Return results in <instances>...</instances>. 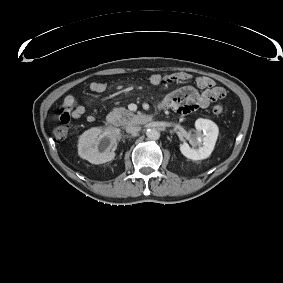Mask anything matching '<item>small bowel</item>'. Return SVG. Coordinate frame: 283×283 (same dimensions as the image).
Returning a JSON list of instances; mask_svg holds the SVG:
<instances>
[{"label": "small bowel", "instance_id": "obj_1", "mask_svg": "<svg viewBox=\"0 0 283 283\" xmlns=\"http://www.w3.org/2000/svg\"><path fill=\"white\" fill-rule=\"evenodd\" d=\"M191 79V75L186 72H177L164 79L160 74L154 73L149 77V81L154 86L164 85L166 83H180ZM95 93H103L106 90V84L94 81L89 86ZM226 92L222 87L216 86L213 79L206 76H198L195 79V87L185 86L169 93L163 100L165 108L176 110L180 114H187L198 108H207L212 102L223 99ZM85 107L80 104L73 95H67L63 99L60 107L62 119L64 116L76 120L85 114ZM88 122H94L95 116L88 115Z\"/></svg>", "mask_w": 283, "mask_h": 283}]
</instances>
